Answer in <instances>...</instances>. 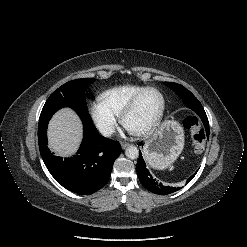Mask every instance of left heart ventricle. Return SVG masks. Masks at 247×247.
<instances>
[{"instance_id": "b2bd125f", "label": "left heart ventricle", "mask_w": 247, "mask_h": 247, "mask_svg": "<svg viewBox=\"0 0 247 247\" xmlns=\"http://www.w3.org/2000/svg\"><path fill=\"white\" fill-rule=\"evenodd\" d=\"M161 109V97L155 91L146 92L126 120L128 129L139 131L151 124Z\"/></svg>"}]
</instances>
